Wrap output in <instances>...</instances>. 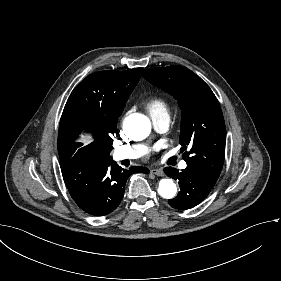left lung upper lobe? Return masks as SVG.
Wrapping results in <instances>:
<instances>
[{
	"instance_id": "obj_1",
	"label": "left lung upper lobe",
	"mask_w": 281,
	"mask_h": 281,
	"mask_svg": "<svg viewBox=\"0 0 281 281\" xmlns=\"http://www.w3.org/2000/svg\"><path fill=\"white\" fill-rule=\"evenodd\" d=\"M143 77L172 94L182 110L180 144L183 159L218 179L225 153L226 129L217 98L210 87L184 66L150 68Z\"/></svg>"
}]
</instances>
